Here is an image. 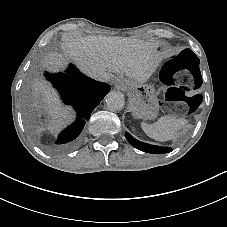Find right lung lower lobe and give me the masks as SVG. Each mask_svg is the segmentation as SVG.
Masks as SVG:
<instances>
[{
	"mask_svg": "<svg viewBox=\"0 0 227 227\" xmlns=\"http://www.w3.org/2000/svg\"><path fill=\"white\" fill-rule=\"evenodd\" d=\"M45 76L59 89L63 101L72 105L77 112L76 121L59 135L54 145L49 146L53 152H63L76 145V138L81 133L85 121L110 91V87L83 75L73 65L69 66L67 74L45 73Z\"/></svg>",
	"mask_w": 227,
	"mask_h": 227,
	"instance_id": "1",
	"label": "right lung lower lobe"
}]
</instances>
